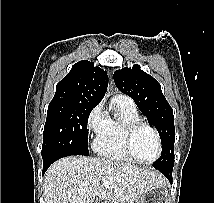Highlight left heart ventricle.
<instances>
[{"mask_svg": "<svg viewBox=\"0 0 214 203\" xmlns=\"http://www.w3.org/2000/svg\"><path fill=\"white\" fill-rule=\"evenodd\" d=\"M133 150L143 161H151L157 154V143L154 134L147 128H141L133 140Z\"/></svg>", "mask_w": 214, "mask_h": 203, "instance_id": "b2bd125f", "label": "left heart ventricle"}]
</instances>
